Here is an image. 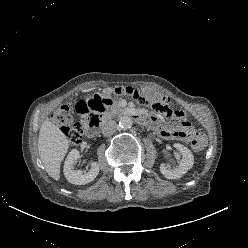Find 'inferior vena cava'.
I'll use <instances>...</instances> for the list:
<instances>
[{
  "label": "inferior vena cava",
  "instance_id": "inferior-vena-cava-1",
  "mask_svg": "<svg viewBox=\"0 0 248 248\" xmlns=\"http://www.w3.org/2000/svg\"><path fill=\"white\" fill-rule=\"evenodd\" d=\"M116 127H117L116 122L113 120H109L102 125V128H101L102 134L104 136H110L115 132Z\"/></svg>",
  "mask_w": 248,
  "mask_h": 248
}]
</instances>
